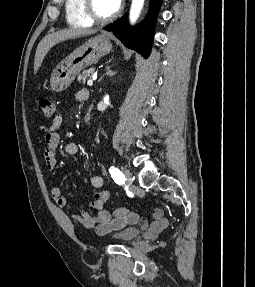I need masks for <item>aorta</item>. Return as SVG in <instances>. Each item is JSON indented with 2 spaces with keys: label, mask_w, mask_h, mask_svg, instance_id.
Here are the masks:
<instances>
[{
  "label": "aorta",
  "mask_w": 255,
  "mask_h": 287,
  "mask_svg": "<svg viewBox=\"0 0 255 287\" xmlns=\"http://www.w3.org/2000/svg\"><path fill=\"white\" fill-rule=\"evenodd\" d=\"M144 0H132L131 10H130V21L134 23L143 7Z\"/></svg>",
  "instance_id": "aorta-1"
}]
</instances>
